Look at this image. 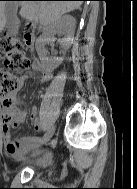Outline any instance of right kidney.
Returning <instances> with one entry per match:
<instances>
[{
  "label": "right kidney",
  "instance_id": "ca27d5eb",
  "mask_svg": "<svg viewBox=\"0 0 137 189\" xmlns=\"http://www.w3.org/2000/svg\"><path fill=\"white\" fill-rule=\"evenodd\" d=\"M75 20L69 15L62 16L55 20L45 32L40 35L36 40V51L42 66L47 71H53L63 61V58H49L46 45L55 41L54 35L57 32L65 33L66 37L60 41L61 47L63 48V54L70 48L73 42Z\"/></svg>",
  "mask_w": 137,
  "mask_h": 189
}]
</instances>
